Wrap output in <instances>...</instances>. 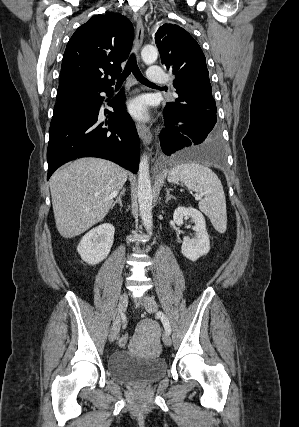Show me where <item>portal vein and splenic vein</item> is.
Listing matches in <instances>:
<instances>
[{
  "instance_id": "obj_1",
  "label": "portal vein and splenic vein",
  "mask_w": 299,
  "mask_h": 427,
  "mask_svg": "<svg viewBox=\"0 0 299 427\" xmlns=\"http://www.w3.org/2000/svg\"><path fill=\"white\" fill-rule=\"evenodd\" d=\"M201 198H202V195H201V194H200V195H196V196H195V199H196V200H200Z\"/></svg>"
}]
</instances>
